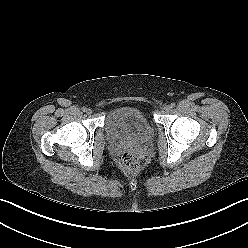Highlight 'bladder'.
<instances>
[{
    "label": "bladder",
    "mask_w": 248,
    "mask_h": 248,
    "mask_svg": "<svg viewBox=\"0 0 248 248\" xmlns=\"http://www.w3.org/2000/svg\"><path fill=\"white\" fill-rule=\"evenodd\" d=\"M104 130L108 138L120 142L127 138L142 140L153 131V126L141 109L120 107L107 116Z\"/></svg>",
    "instance_id": "obj_1"
}]
</instances>
